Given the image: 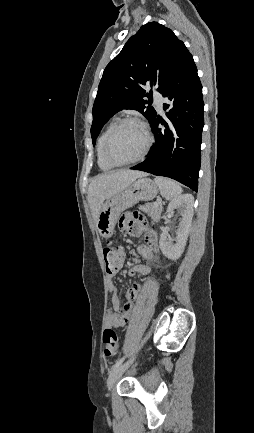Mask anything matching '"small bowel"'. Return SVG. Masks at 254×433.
<instances>
[{
	"label": "small bowel",
	"mask_w": 254,
	"mask_h": 433,
	"mask_svg": "<svg viewBox=\"0 0 254 433\" xmlns=\"http://www.w3.org/2000/svg\"><path fill=\"white\" fill-rule=\"evenodd\" d=\"M119 226L122 229L130 231L132 234H139L145 230V224L141 219H133L132 215L126 214L120 219ZM157 238L153 232H148L145 237V244L139 247V252L146 260H152L154 252H157ZM125 262V257L122 256L121 264L116 272L110 273L111 275L116 274L121 270ZM150 268L147 265L136 263L130 270L129 275L140 274L147 276L150 274ZM109 289L111 295V306L105 315V324L108 327L121 328L124 327L130 320L134 303L136 302L141 286L134 284L125 293L126 302L122 305L120 298L116 292V288L112 281L109 282Z\"/></svg>",
	"instance_id": "c3829d8e"
}]
</instances>
